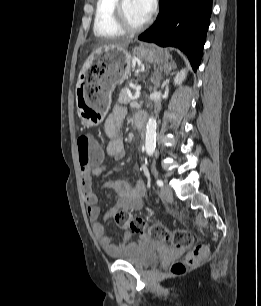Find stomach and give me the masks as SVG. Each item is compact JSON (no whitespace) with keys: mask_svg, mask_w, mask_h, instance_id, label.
I'll use <instances>...</instances> for the list:
<instances>
[{"mask_svg":"<svg viewBox=\"0 0 261 306\" xmlns=\"http://www.w3.org/2000/svg\"><path fill=\"white\" fill-rule=\"evenodd\" d=\"M138 58L149 63H161L166 55L141 44L136 49ZM132 55L125 48H101L88 58L85 69L97 66L98 74L84 77L77 85V107L87 126H97L106 116L112 101V92L117 84L130 74Z\"/></svg>","mask_w":261,"mask_h":306,"instance_id":"stomach-1","label":"stomach"}]
</instances>
